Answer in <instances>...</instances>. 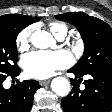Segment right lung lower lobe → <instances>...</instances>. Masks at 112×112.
<instances>
[{
    "label": "right lung lower lobe",
    "instance_id": "1",
    "mask_svg": "<svg viewBox=\"0 0 112 112\" xmlns=\"http://www.w3.org/2000/svg\"><path fill=\"white\" fill-rule=\"evenodd\" d=\"M20 73L19 67H16L9 74L0 77V112H29L35 92L40 85L35 80H27L22 83L18 82L11 85L9 89L3 88V81L11 76L15 78Z\"/></svg>",
    "mask_w": 112,
    "mask_h": 112
}]
</instances>
